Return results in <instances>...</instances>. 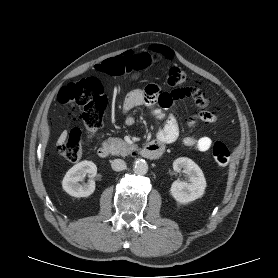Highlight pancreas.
<instances>
[{"label":"pancreas","mask_w":278,"mask_h":278,"mask_svg":"<svg viewBox=\"0 0 278 278\" xmlns=\"http://www.w3.org/2000/svg\"><path fill=\"white\" fill-rule=\"evenodd\" d=\"M104 146L109 148L112 155H121L123 157L127 156L132 150V146L120 138H109L104 142Z\"/></svg>","instance_id":"1"}]
</instances>
